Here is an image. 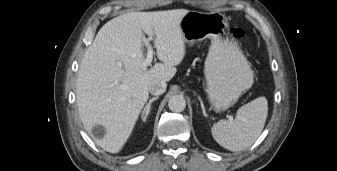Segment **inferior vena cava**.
Returning <instances> with one entry per match:
<instances>
[{"instance_id":"1","label":"inferior vena cava","mask_w":337,"mask_h":171,"mask_svg":"<svg viewBox=\"0 0 337 171\" xmlns=\"http://www.w3.org/2000/svg\"><path fill=\"white\" fill-rule=\"evenodd\" d=\"M166 82L163 80H154L149 85V92L152 95H161L166 91Z\"/></svg>"}]
</instances>
